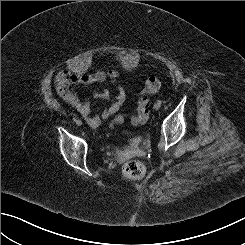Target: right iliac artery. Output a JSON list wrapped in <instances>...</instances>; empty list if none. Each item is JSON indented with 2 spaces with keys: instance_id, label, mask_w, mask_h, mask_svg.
I'll use <instances>...</instances> for the list:
<instances>
[{
  "instance_id": "1",
  "label": "right iliac artery",
  "mask_w": 245,
  "mask_h": 245,
  "mask_svg": "<svg viewBox=\"0 0 245 245\" xmlns=\"http://www.w3.org/2000/svg\"><path fill=\"white\" fill-rule=\"evenodd\" d=\"M73 121H74V122H77V118H73Z\"/></svg>"
}]
</instances>
